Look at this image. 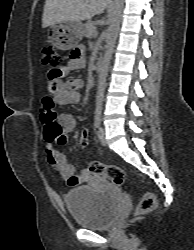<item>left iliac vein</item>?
Returning a JSON list of instances; mask_svg holds the SVG:
<instances>
[{"label": "left iliac vein", "mask_w": 194, "mask_h": 250, "mask_svg": "<svg viewBox=\"0 0 194 250\" xmlns=\"http://www.w3.org/2000/svg\"><path fill=\"white\" fill-rule=\"evenodd\" d=\"M97 135H98V140L101 143V145L105 146L106 138H105V130L103 127H99Z\"/></svg>", "instance_id": "obj_1"}]
</instances>
